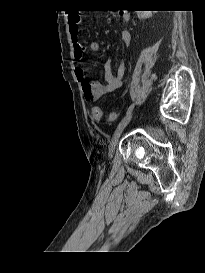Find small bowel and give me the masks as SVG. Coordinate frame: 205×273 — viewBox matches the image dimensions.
<instances>
[{"instance_id": "obj_1", "label": "small bowel", "mask_w": 205, "mask_h": 273, "mask_svg": "<svg viewBox=\"0 0 205 273\" xmlns=\"http://www.w3.org/2000/svg\"><path fill=\"white\" fill-rule=\"evenodd\" d=\"M121 17L123 19L128 18V13H122ZM68 24L70 27V35L73 45V59L75 62L79 63L84 55V46L79 39V26H80V16L78 14H71L68 16ZM120 40L124 45H129L131 42V34L129 31L125 30L120 35ZM89 49L93 53H98L100 50V45L96 41L89 43ZM75 75L77 80L81 83L84 97L88 102L97 101L103 95L115 91L121 86L122 78L124 75V65L121 64L113 72L111 63L109 60L103 63V76L106 84H101L98 81H90L85 70L81 66L75 68Z\"/></svg>"}]
</instances>
